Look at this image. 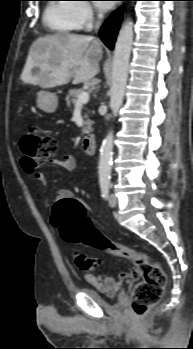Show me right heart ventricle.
I'll return each instance as SVG.
<instances>
[{"label":"right heart ventricle","instance_id":"obj_1","mask_svg":"<svg viewBox=\"0 0 193 349\" xmlns=\"http://www.w3.org/2000/svg\"><path fill=\"white\" fill-rule=\"evenodd\" d=\"M73 5L67 0H53L46 5L43 20L50 31L69 34L79 28Z\"/></svg>","mask_w":193,"mask_h":349}]
</instances>
